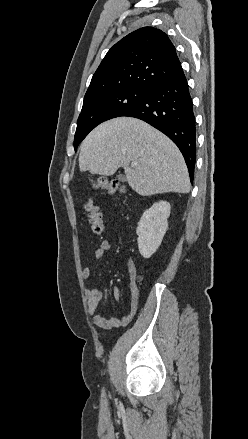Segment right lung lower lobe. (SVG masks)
Segmentation results:
<instances>
[{
	"label": "right lung lower lobe",
	"mask_w": 248,
	"mask_h": 439,
	"mask_svg": "<svg viewBox=\"0 0 248 439\" xmlns=\"http://www.w3.org/2000/svg\"><path fill=\"white\" fill-rule=\"evenodd\" d=\"M120 116L141 119L167 135L183 154L193 182L196 123L183 71L149 90L139 102Z\"/></svg>",
	"instance_id": "right-lung-lower-lobe-1"
}]
</instances>
